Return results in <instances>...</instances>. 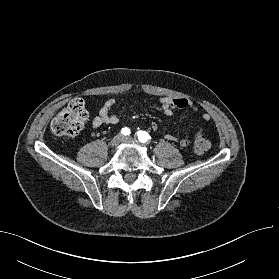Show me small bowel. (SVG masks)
<instances>
[{
  "mask_svg": "<svg viewBox=\"0 0 279 279\" xmlns=\"http://www.w3.org/2000/svg\"><path fill=\"white\" fill-rule=\"evenodd\" d=\"M114 99L106 100L101 106L98 115H96L92 121L91 126L98 128L102 125H113L119 122V117L111 113V109L115 106ZM154 109L162 114L170 115L175 109H191L192 111L199 113L203 121L209 120V115L205 112L200 111L191 100L186 98H175V97H162L158 100ZM153 130L158 129V124L153 122L151 124ZM203 135V128L200 127L195 134L194 138L197 139ZM168 140L178 143L181 147H187L191 144V139L188 138H177L173 135H167Z\"/></svg>",
  "mask_w": 279,
  "mask_h": 279,
  "instance_id": "1",
  "label": "small bowel"
}]
</instances>
